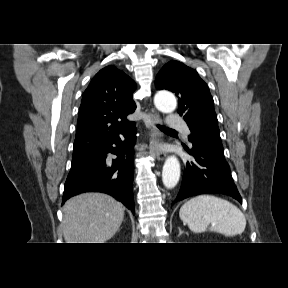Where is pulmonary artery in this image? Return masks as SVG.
I'll return each instance as SVG.
<instances>
[{"mask_svg": "<svg viewBox=\"0 0 288 288\" xmlns=\"http://www.w3.org/2000/svg\"><path fill=\"white\" fill-rule=\"evenodd\" d=\"M167 123H168V127H169V128H172V129H182V130H184L186 133L189 132V130L187 129L186 124H185L183 118L180 117V116L177 115V114H174V113L169 114V115H168Z\"/></svg>", "mask_w": 288, "mask_h": 288, "instance_id": "1", "label": "pulmonary artery"}]
</instances>
